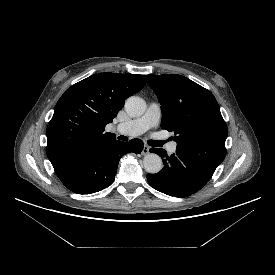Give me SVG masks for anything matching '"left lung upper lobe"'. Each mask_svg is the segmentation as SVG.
<instances>
[{"label":"left lung upper lobe","mask_w":275,"mask_h":275,"mask_svg":"<svg viewBox=\"0 0 275 275\" xmlns=\"http://www.w3.org/2000/svg\"><path fill=\"white\" fill-rule=\"evenodd\" d=\"M162 111V129L172 131L176 151L215 170L226 156L228 130L213 94L177 74L148 75Z\"/></svg>","instance_id":"1"}]
</instances>
